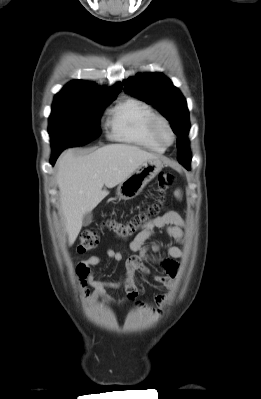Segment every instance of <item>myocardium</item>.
I'll return each mask as SVG.
<instances>
[{
  "label": "myocardium",
  "mask_w": 261,
  "mask_h": 399,
  "mask_svg": "<svg viewBox=\"0 0 261 399\" xmlns=\"http://www.w3.org/2000/svg\"><path fill=\"white\" fill-rule=\"evenodd\" d=\"M165 126L171 134V140L166 141L160 132L161 126ZM150 128L153 136L156 138L158 142H160L163 146L168 147L172 145L176 140V133L170 123V121L161 114H154L151 119Z\"/></svg>",
  "instance_id": "myocardium-1"
}]
</instances>
